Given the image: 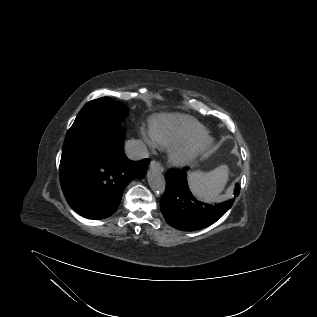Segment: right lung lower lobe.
I'll list each match as a JSON object with an SVG mask.
<instances>
[{
  "instance_id": "1",
  "label": "right lung lower lobe",
  "mask_w": 317,
  "mask_h": 317,
  "mask_svg": "<svg viewBox=\"0 0 317 317\" xmlns=\"http://www.w3.org/2000/svg\"><path fill=\"white\" fill-rule=\"evenodd\" d=\"M125 131L104 127L74 149L62 153L60 183L69 205L89 219H103L118 208L126 185L145 175L148 159L129 160Z\"/></svg>"
}]
</instances>
